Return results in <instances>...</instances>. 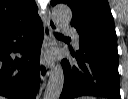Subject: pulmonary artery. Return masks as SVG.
Masks as SVG:
<instances>
[{
  "instance_id": "1",
  "label": "pulmonary artery",
  "mask_w": 128,
  "mask_h": 99,
  "mask_svg": "<svg viewBox=\"0 0 128 99\" xmlns=\"http://www.w3.org/2000/svg\"><path fill=\"white\" fill-rule=\"evenodd\" d=\"M63 29H64V31L71 34V36L73 38V44L76 48H78L79 47V36H78L76 29H74L70 26H67V25H64Z\"/></svg>"
}]
</instances>
